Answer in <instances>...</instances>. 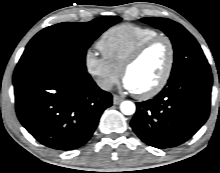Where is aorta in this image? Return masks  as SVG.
Masks as SVG:
<instances>
[{"instance_id":"obj_1","label":"aorta","mask_w":220,"mask_h":173,"mask_svg":"<svg viewBox=\"0 0 220 173\" xmlns=\"http://www.w3.org/2000/svg\"><path fill=\"white\" fill-rule=\"evenodd\" d=\"M135 104L131 101H123L120 105V110L125 115H132L135 113Z\"/></svg>"}]
</instances>
